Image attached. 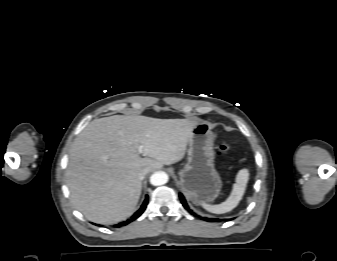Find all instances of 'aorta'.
<instances>
[{"label":"aorta","instance_id":"aorta-1","mask_svg":"<svg viewBox=\"0 0 337 261\" xmlns=\"http://www.w3.org/2000/svg\"><path fill=\"white\" fill-rule=\"evenodd\" d=\"M168 182V175L163 171H157L150 177V183L154 186L163 185Z\"/></svg>","mask_w":337,"mask_h":261}]
</instances>
